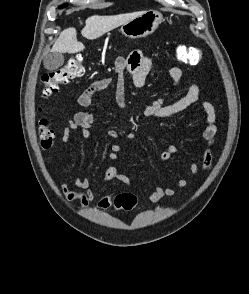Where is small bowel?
<instances>
[{"label": "small bowel", "mask_w": 249, "mask_h": 294, "mask_svg": "<svg viewBox=\"0 0 249 294\" xmlns=\"http://www.w3.org/2000/svg\"><path fill=\"white\" fill-rule=\"evenodd\" d=\"M117 68L119 72V77L117 81V86L115 90V100L119 107H126L125 98V78L124 73H127L133 82L134 87L141 88L145 79L152 66V58L146 55L142 50L133 51L127 59L122 57L117 59ZM169 75L172 80L173 87H177L182 78V70L178 66H172L169 69ZM110 78H102L92 82L77 98L78 105L82 108L89 107L94 97L104 90ZM199 103L201 109L206 115L207 126L202 131V138L208 143V146L203 148L202 157V168L208 170L212 167L213 162V152L212 145L215 140V135L217 132L216 127V112L213 105L200 98V89L198 85L192 84L188 88L186 94L179 100L167 104L163 98H158L152 104L146 106L143 111V115L147 118H163L178 114L193 104ZM94 123V117L92 114L80 111L75 114L74 118L70 120L61 134V139L63 143L68 144L71 141L72 135L75 131L79 130L81 136L84 139H89L92 135L91 127ZM107 135L116 139L120 136V133L115 129H110ZM127 139H134L135 135L132 132H125L123 134ZM124 146L120 143H115L111 147V152L109 154L110 161H116L119 158V153L123 151ZM178 153V147L176 145H168L160 153V158L164 161L170 160ZM189 172L192 176H196L199 172V166L195 161H191L189 164ZM112 180L121 182L128 187H134V184L129 176L119 172L116 165H109L102 178L101 183H106ZM76 189H70L69 183L64 182L62 185V191L66 199L68 200H78L79 208H86L95 197V189L91 186V182L86 177H77L74 180ZM188 181L184 177H178L176 180V187H164L161 185L155 186L151 194L149 195V201L156 203L164 197H172L178 191L186 188ZM116 194H108L102 197L97 203V209L99 211H104L112 206H114Z\"/></svg>", "instance_id": "small-bowel-1"}]
</instances>
